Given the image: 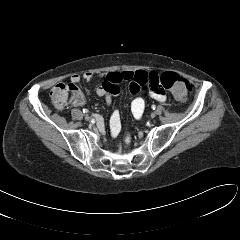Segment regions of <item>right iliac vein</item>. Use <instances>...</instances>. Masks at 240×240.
I'll return each instance as SVG.
<instances>
[{
    "label": "right iliac vein",
    "instance_id": "right-iliac-vein-1",
    "mask_svg": "<svg viewBox=\"0 0 240 240\" xmlns=\"http://www.w3.org/2000/svg\"><path fill=\"white\" fill-rule=\"evenodd\" d=\"M85 120L86 121H90L91 120V117L89 115H85Z\"/></svg>",
    "mask_w": 240,
    "mask_h": 240
}]
</instances>
